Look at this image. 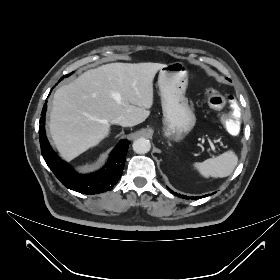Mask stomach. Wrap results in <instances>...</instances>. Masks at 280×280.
Listing matches in <instances>:
<instances>
[{
    "label": "stomach",
    "instance_id": "stomach-1",
    "mask_svg": "<svg viewBox=\"0 0 280 280\" xmlns=\"http://www.w3.org/2000/svg\"><path fill=\"white\" fill-rule=\"evenodd\" d=\"M188 85L187 66L173 62L160 69L158 86L163 110V135L180 141L194 128L196 117L185 97Z\"/></svg>",
    "mask_w": 280,
    "mask_h": 280
}]
</instances>
